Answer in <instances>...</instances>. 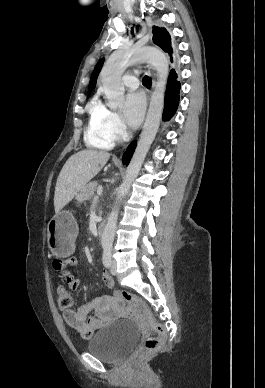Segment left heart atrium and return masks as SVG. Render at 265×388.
<instances>
[{
    "label": "left heart atrium",
    "instance_id": "39dd6f15",
    "mask_svg": "<svg viewBox=\"0 0 265 388\" xmlns=\"http://www.w3.org/2000/svg\"><path fill=\"white\" fill-rule=\"evenodd\" d=\"M145 111L144 96L139 91H133L124 98L123 119L132 126L140 123Z\"/></svg>",
    "mask_w": 265,
    "mask_h": 388
}]
</instances>
